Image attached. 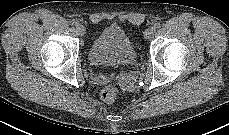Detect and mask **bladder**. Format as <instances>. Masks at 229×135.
<instances>
[{
	"mask_svg": "<svg viewBox=\"0 0 229 135\" xmlns=\"http://www.w3.org/2000/svg\"><path fill=\"white\" fill-rule=\"evenodd\" d=\"M87 58L93 65H133L137 52L124 29L112 24L105 26L93 39Z\"/></svg>",
	"mask_w": 229,
	"mask_h": 135,
	"instance_id": "obj_1",
	"label": "bladder"
}]
</instances>
